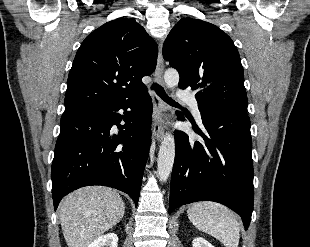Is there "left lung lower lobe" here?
Wrapping results in <instances>:
<instances>
[{"label":"left lung lower lobe","instance_id":"1","mask_svg":"<svg viewBox=\"0 0 310 247\" xmlns=\"http://www.w3.org/2000/svg\"><path fill=\"white\" fill-rule=\"evenodd\" d=\"M200 112L209 135L196 132L204 142L175 131L169 213L192 202L215 201L238 213L248 229L254 201L250 119L225 110Z\"/></svg>","mask_w":310,"mask_h":247}]
</instances>
